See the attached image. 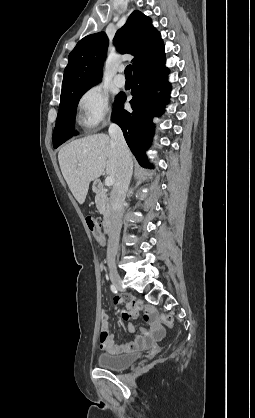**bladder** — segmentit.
Wrapping results in <instances>:
<instances>
[{
	"label": "bladder",
	"mask_w": 255,
	"mask_h": 418,
	"mask_svg": "<svg viewBox=\"0 0 255 418\" xmlns=\"http://www.w3.org/2000/svg\"><path fill=\"white\" fill-rule=\"evenodd\" d=\"M140 358L139 352L125 354H101L97 358L98 365L108 370H124L135 363Z\"/></svg>",
	"instance_id": "31cf9c89"
}]
</instances>
